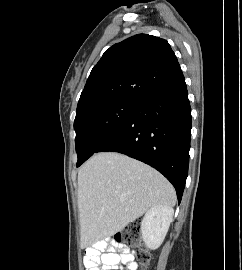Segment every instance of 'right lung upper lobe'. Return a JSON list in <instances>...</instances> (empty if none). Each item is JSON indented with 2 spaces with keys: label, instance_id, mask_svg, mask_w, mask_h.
Masks as SVG:
<instances>
[{
  "label": "right lung upper lobe",
  "instance_id": "obj_1",
  "mask_svg": "<svg viewBox=\"0 0 242 270\" xmlns=\"http://www.w3.org/2000/svg\"><path fill=\"white\" fill-rule=\"evenodd\" d=\"M181 71L164 39L138 34L107 49L93 67L76 115L117 100L138 101Z\"/></svg>",
  "mask_w": 242,
  "mask_h": 270
}]
</instances>
